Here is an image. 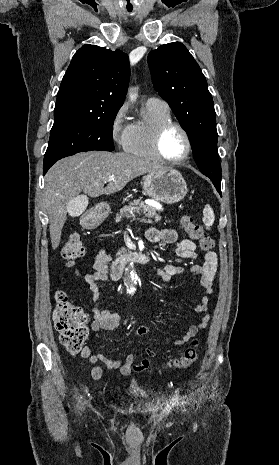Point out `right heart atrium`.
I'll return each instance as SVG.
<instances>
[{
  "label": "right heart atrium",
  "mask_w": 279,
  "mask_h": 465,
  "mask_svg": "<svg viewBox=\"0 0 279 465\" xmlns=\"http://www.w3.org/2000/svg\"><path fill=\"white\" fill-rule=\"evenodd\" d=\"M132 125L128 122L127 107L120 106L114 113L110 124V135L112 140L121 148L127 146Z\"/></svg>",
  "instance_id": "obj_1"
}]
</instances>
